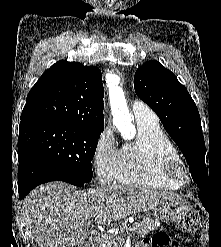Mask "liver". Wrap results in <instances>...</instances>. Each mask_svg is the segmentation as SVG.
<instances>
[{
    "instance_id": "obj_1",
    "label": "liver",
    "mask_w": 221,
    "mask_h": 247,
    "mask_svg": "<svg viewBox=\"0 0 221 247\" xmlns=\"http://www.w3.org/2000/svg\"><path fill=\"white\" fill-rule=\"evenodd\" d=\"M179 197L143 187L101 186L78 191L63 182L34 189L22 202V218L39 247H74L92 223L117 222Z\"/></svg>"
}]
</instances>
